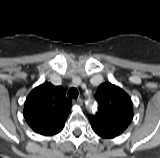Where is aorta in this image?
Here are the masks:
<instances>
[{"label": "aorta", "mask_w": 160, "mask_h": 158, "mask_svg": "<svg viewBox=\"0 0 160 158\" xmlns=\"http://www.w3.org/2000/svg\"><path fill=\"white\" fill-rule=\"evenodd\" d=\"M88 108L92 111L96 110V104L94 103L93 99L88 100Z\"/></svg>", "instance_id": "1"}]
</instances>
